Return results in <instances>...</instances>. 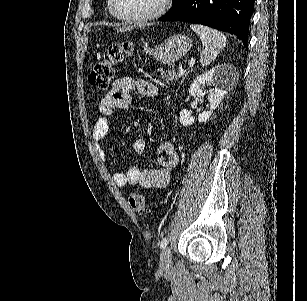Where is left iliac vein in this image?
Here are the masks:
<instances>
[{
    "instance_id": "1",
    "label": "left iliac vein",
    "mask_w": 307,
    "mask_h": 301,
    "mask_svg": "<svg viewBox=\"0 0 307 301\" xmlns=\"http://www.w3.org/2000/svg\"><path fill=\"white\" fill-rule=\"evenodd\" d=\"M160 266L167 270L171 266V250L165 247L160 254Z\"/></svg>"
}]
</instances>
